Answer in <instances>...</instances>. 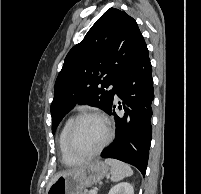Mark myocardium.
<instances>
[{"instance_id": "1", "label": "myocardium", "mask_w": 201, "mask_h": 194, "mask_svg": "<svg viewBox=\"0 0 201 194\" xmlns=\"http://www.w3.org/2000/svg\"><path fill=\"white\" fill-rule=\"evenodd\" d=\"M85 118H97V119L101 120L103 122V124L105 126V130H106V136H105V139L102 142V144L95 151L90 152V153H81L74 146V135H75L76 128H77L78 124ZM111 135L112 134H111L110 124L104 115H102L98 112H93V111L83 112V113H80L79 115H77L72 120V122L68 128L67 135H66V147H67L68 152L76 159H79V160L91 159V158H94L97 155H99L104 150V148L109 144V142L111 140Z\"/></svg>"}]
</instances>
